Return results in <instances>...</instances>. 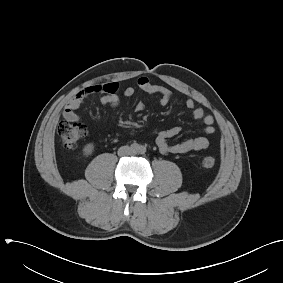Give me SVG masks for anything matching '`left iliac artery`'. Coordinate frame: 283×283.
Returning a JSON list of instances; mask_svg holds the SVG:
<instances>
[{"label": "left iliac artery", "mask_w": 283, "mask_h": 283, "mask_svg": "<svg viewBox=\"0 0 283 283\" xmlns=\"http://www.w3.org/2000/svg\"><path fill=\"white\" fill-rule=\"evenodd\" d=\"M138 152H139L140 154H145V152H146V147L140 146Z\"/></svg>", "instance_id": "1"}]
</instances>
